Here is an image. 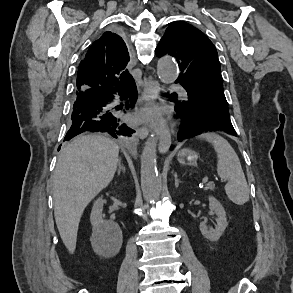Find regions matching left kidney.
Here are the masks:
<instances>
[{
  "label": "left kidney",
  "instance_id": "1",
  "mask_svg": "<svg viewBox=\"0 0 293 293\" xmlns=\"http://www.w3.org/2000/svg\"><path fill=\"white\" fill-rule=\"evenodd\" d=\"M210 214L216 215L215 228L207 226L206 221L200 223V231L202 235L210 241H218L228 226L226 212L221 203L213 196H209Z\"/></svg>",
  "mask_w": 293,
  "mask_h": 293
}]
</instances>
